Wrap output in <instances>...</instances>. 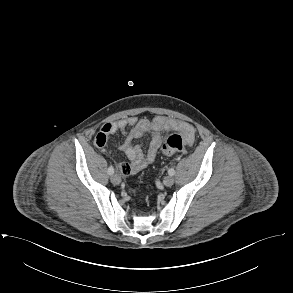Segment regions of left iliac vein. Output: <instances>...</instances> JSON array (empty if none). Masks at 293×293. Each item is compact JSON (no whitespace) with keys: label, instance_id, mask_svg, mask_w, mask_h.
<instances>
[{"label":"left iliac vein","instance_id":"obj_1","mask_svg":"<svg viewBox=\"0 0 293 293\" xmlns=\"http://www.w3.org/2000/svg\"><path fill=\"white\" fill-rule=\"evenodd\" d=\"M163 183L165 186L167 187H170L173 185L174 183V179L172 176H166L164 179H163Z\"/></svg>","mask_w":293,"mask_h":293}]
</instances>
